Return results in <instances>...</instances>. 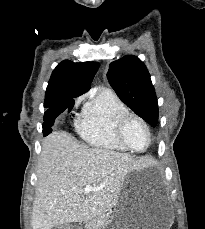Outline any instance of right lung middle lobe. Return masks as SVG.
Listing matches in <instances>:
<instances>
[{"instance_id": "obj_1", "label": "right lung middle lobe", "mask_w": 205, "mask_h": 229, "mask_svg": "<svg viewBox=\"0 0 205 229\" xmlns=\"http://www.w3.org/2000/svg\"><path fill=\"white\" fill-rule=\"evenodd\" d=\"M45 107V106H44ZM47 107H52V105H50V106H47ZM47 107H45V108H47Z\"/></svg>"}]
</instances>
